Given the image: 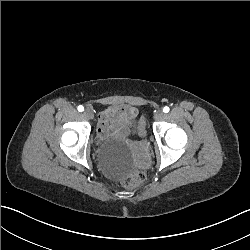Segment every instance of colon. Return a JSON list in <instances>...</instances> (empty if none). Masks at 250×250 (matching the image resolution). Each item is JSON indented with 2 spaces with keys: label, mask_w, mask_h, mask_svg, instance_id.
Instances as JSON below:
<instances>
[{
  "label": "colon",
  "mask_w": 250,
  "mask_h": 250,
  "mask_svg": "<svg viewBox=\"0 0 250 250\" xmlns=\"http://www.w3.org/2000/svg\"><path fill=\"white\" fill-rule=\"evenodd\" d=\"M140 134H143L140 133ZM148 175L143 170L134 171L131 175L124 177L121 180V186L126 191H131L135 188L136 184L143 185L147 182Z\"/></svg>",
  "instance_id": "obj_1"
}]
</instances>
